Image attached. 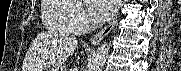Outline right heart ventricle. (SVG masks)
<instances>
[{
  "instance_id": "obj_1",
  "label": "right heart ventricle",
  "mask_w": 181,
  "mask_h": 71,
  "mask_svg": "<svg viewBox=\"0 0 181 71\" xmlns=\"http://www.w3.org/2000/svg\"><path fill=\"white\" fill-rule=\"evenodd\" d=\"M72 8V5L64 0H45L42 7V18L45 26L65 34H75L68 20Z\"/></svg>"
}]
</instances>
